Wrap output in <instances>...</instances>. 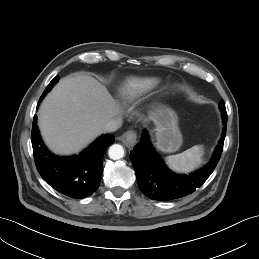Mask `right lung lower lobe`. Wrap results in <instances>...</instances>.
<instances>
[{"mask_svg": "<svg viewBox=\"0 0 259 259\" xmlns=\"http://www.w3.org/2000/svg\"><path fill=\"white\" fill-rule=\"evenodd\" d=\"M31 141L34 160L42 178L56 191L71 198L91 195L100 184L103 172L102 157L114 142L113 135H104L79 155L58 157L44 145L34 116Z\"/></svg>", "mask_w": 259, "mask_h": 259, "instance_id": "obj_1", "label": "right lung lower lobe"}]
</instances>
